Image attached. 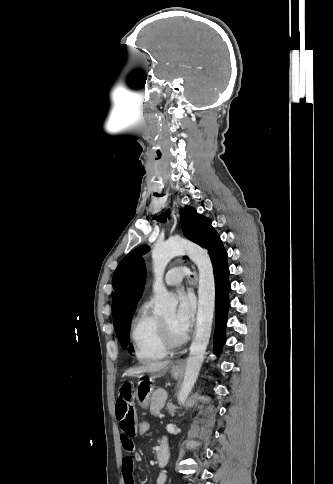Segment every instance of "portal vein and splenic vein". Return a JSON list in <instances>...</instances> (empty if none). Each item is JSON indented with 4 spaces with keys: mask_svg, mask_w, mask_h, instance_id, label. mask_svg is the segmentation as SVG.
Returning a JSON list of instances; mask_svg holds the SVG:
<instances>
[{
    "mask_svg": "<svg viewBox=\"0 0 333 484\" xmlns=\"http://www.w3.org/2000/svg\"><path fill=\"white\" fill-rule=\"evenodd\" d=\"M158 417L161 419V418L164 417V415L163 414H159Z\"/></svg>",
    "mask_w": 333,
    "mask_h": 484,
    "instance_id": "1",
    "label": "portal vein and splenic vein"
}]
</instances>
